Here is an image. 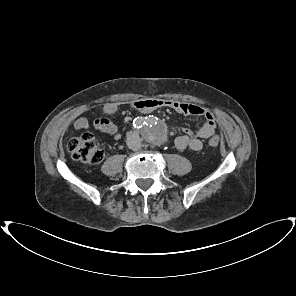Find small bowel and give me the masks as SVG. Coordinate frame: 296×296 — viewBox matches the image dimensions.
<instances>
[{
    "instance_id": "small-bowel-1",
    "label": "small bowel",
    "mask_w": 296,
    "mask_h": 296,
    "mask_svg": "<svg viewBox=\"0 0 296 296\" xmlns=\"http://www.w3.org/2000/svg\"><path fill=\"white\" fill-rule=\"evenodd\" d=\"M133 107L140 113H150L156 109L169 108L179 114L184 115H197L205 118V123L195 132L190 129H184V133L177 136L173 145L179 150L190 149L192 151H200L203 148V140L209 138L215 133L216 122L213 113L202 106L183 103L172 100H156L146 99L138 100L133 103ZM119 107L116 103H106L102 109L101 114L105 116H114L118 113ZM89 126L88 120L85 118H79L75 121L74 127L77 130L87 129ZM95 129L113 135L118 136V127L112 121L107 118H96L93 121Z\"/></svg>"
}]
</instances>
